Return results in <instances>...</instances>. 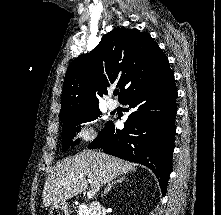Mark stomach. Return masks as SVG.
Masks as SVG:
<instances>
[{"mask_svg": "<svg viewBox=\"0 0 221 215\" xmlns=\"http://www.w3.org/2000/svg\"><path fill=\"white\" fill-rule=\"evenodd\" d=\"M71 210L67 203L53 204L50 208V215H70Z\"/></svg>", "mask_w": 221, "mask_h": 215, "instance_id": "obj_1", "label": "stomach"}]
</instances>
